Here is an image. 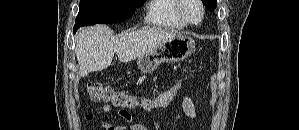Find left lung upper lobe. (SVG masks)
I'll return each mask as SVG.
<instances>
[{
	"instance_id": "obj_1",
	"label": "left lung upper lobe",
	"mask_w": 299,
	"mask_h": 130,
	"mask_svg": "<svg viewBox=\"0 0 299 130\" xmlns=\"http://www.w3.org/2000/svg\"><path fill=\"white\" fill-rule=\"evenodd\" d=\"M202 2L210 11H213L217 5L216 0H202Z\"/></svg>"
}]
</instances>
